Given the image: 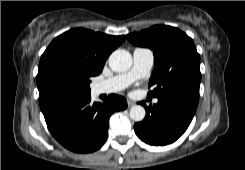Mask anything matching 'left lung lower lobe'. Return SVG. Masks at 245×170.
I'll list each match as a JSON object with an SVG mask.
<instances>
[{
    "mask_svg": "<svg viewBox=\"0 0 245 170\" xmlns=\"http://www.w3.org/2000/svg\"><path fill=\"white\" fill-rule=\"evenodd\" d=\"M146 109L142 122L134 124L137 136L147 144L163 146L175 142L186 131L196 112L198 102L180 96L158 98Z\"/></svg>",
    "mask_w": 245,
    "mask_h": 170,
    "instance_id": "left-lung-lower-lobe-1",
    "label": "left lung lower lobe"
}]
</instances>
